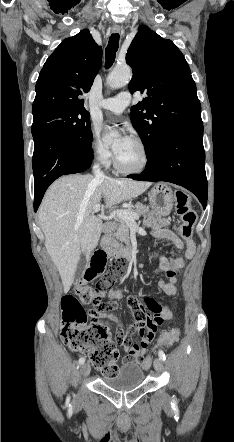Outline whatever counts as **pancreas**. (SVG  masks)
<instances>
[{
  "label": "pancreas",
  "instance_id": "1",
  "mask_svg": "<svg viewBox=\"0 0 234 442\" xmlns=\"http://www.w3.org/2000/svg\"><path fill=\"white\" fill-rule=\"evenodd\" d=\"M128 210L139 216H146L150 212L149 207L140 202L129 207ZM123 243L126 245L130 243L129 225L127 222L119 219L107 226L102 245L110 256H114L116 254L115 248L122 246Z\"/></svg>",
  "mask_w": 234,
  "mask_h": 442
}]
</instances>
